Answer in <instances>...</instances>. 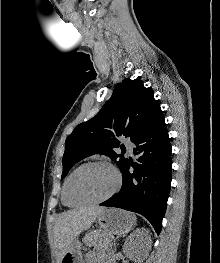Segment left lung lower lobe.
Masks as SVG:
<instances>
[{
    "label": "left lung lower lobe",
    "mask_w": 220,
    "mask_h": 263,
    "mask_svg": "<svg viewBox=\"0 0 220 263\" xmlns=\"http://www.w3.org/2000/svg\"><path fill=\"white\" fill-rule=\"evenodd\" d=\"M134 144L137 162L127 160L121 170V190L100 205L139 213L148 219L159 234L166 211L172 171L171 145L164 117ZM131 166L133 173L129 171Z\"/></svg>",
    "instance_id": "obj_1"
}]
</instances>
